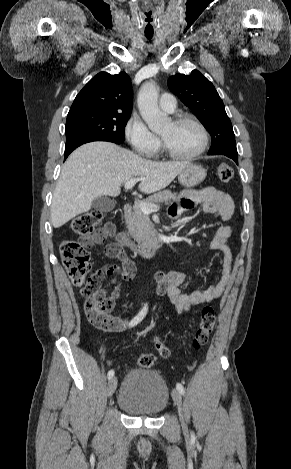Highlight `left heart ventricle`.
I'll use <instances>...</instances> for the list:
<instances>
[{"label":"left heart ventricle","instance_id":"1","mask_svg":"<svg viewBox=\"0 0 291 469\" xmlns=\"http://www.w3.org/2000/svg\"><path fill=\"white\" fill-rule=\"evenodd\" d=\"M160 136L173 152L180 155L195 152L201 143L199 130L190 122L180 124L169 122L160 131Z\"/></svg>","mask_w":291,"mask_h":469}]
</instances>
